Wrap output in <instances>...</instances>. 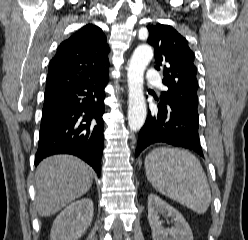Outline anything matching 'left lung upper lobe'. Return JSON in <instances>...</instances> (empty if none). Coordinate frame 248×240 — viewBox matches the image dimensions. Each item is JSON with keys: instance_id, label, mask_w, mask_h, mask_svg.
<instances>
[{"instance_id": "obj_1", "label": "left lung upper lobe", "mask_w": 248, "mask_h": 240, "mask_svg": "<svg viewBox=\"0 0 248 240\" xmlns=\"http://www.w3.org/2000/svg\"><path fill=\"white\" fill-rule=\"evenodd\" d=\"M147 29V43L155 50V68L163 67V84L168 87V91L161 93V103L197 108V68L187 40L169 25L158 23L148 25Z\"/></svg>"}]
</instances>
